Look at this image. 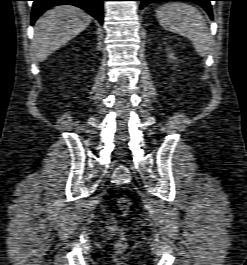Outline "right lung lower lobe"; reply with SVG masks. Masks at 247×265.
Segmentation results:
<instances>
[{
	"mask_svg": "<svg viewBox=\"0 0 247 265\" xmlns=\"http://www.w3.org/2000/svg\"><path fill=\"white\" fill-rule=\"evenodd\" d=\"M34 1L31 22L35 23L37 18L47 9L57 5H73L87 11L91 16L103 24V1L104 0H32Z\"/></svg>",
	"mask_w": 247,
	"mask_h": 265,
	"instance_id": "obj_1",
	"label": "right lung lower lobe"
}]
</instances>
